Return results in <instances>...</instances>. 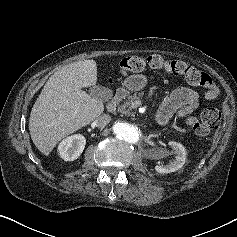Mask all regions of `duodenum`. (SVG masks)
<instances>
[{"mask_svg":"<svg viewBox=\"0 0 237 237\" xmlns=\"http://www.w3.org/2000/svg\"><path fill=\"white\" fill-rule=\"evenodd\" d=\"M122 98V92H117L109 102V108L114 109Z\"/></svg>","mask_w":237,"mask_h":237,"instance_id":"duodenum-1","label":"duodenum"}]
</instances>
